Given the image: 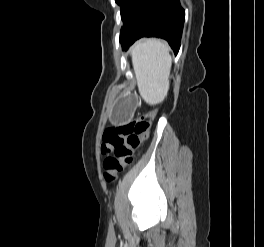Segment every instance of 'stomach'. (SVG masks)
Wrapping results in <instances>:
<instances>
[{
	"mask_svg": "<svg viewBox=\"0 0 264 247\" xmlns=\"http://www.w3.org/2000/svg\"><path fill=\"white\" fill-rule=\"evenodd\" d=\"M134 108H136V94H121V102L114 108L112 121L119 123L135 118Z\"/></svg>",
	"mask_w": 264,
	"mask_h": 247,
	"instance_id": "stomach-1",
	"label": "stomach"
}]
</instances>
